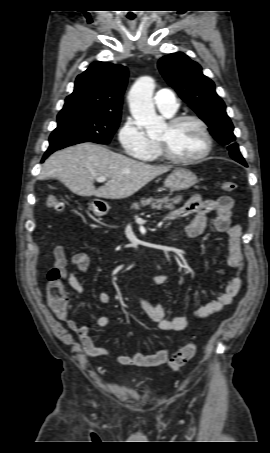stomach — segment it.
I'll return each instance as SVG.
<instances>
[{
	"instance_id": "stomach-1",
	"label": "stomach",
	"mask_w": 270,
	"mask_h": 453,
	"mask_svg": "<svg viewBox=\"0 0 270 453\" xmlns=\"http://www.w3.org/2000/svg\"><path fill=\"white\" fill-rule=\"evenodd\" d=\"M197 181V176L192 171L185 168H177L166 178L164 185L172 191H181L194 186ZM108 209V205L100 200H95L92 203L93 213L97 216L105 215Z\"/></svg>"
}]
</instances>
